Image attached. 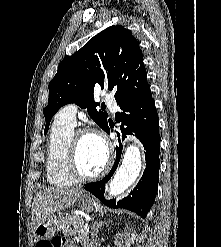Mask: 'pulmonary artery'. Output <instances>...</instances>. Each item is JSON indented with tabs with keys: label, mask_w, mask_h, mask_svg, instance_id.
Returning a JSON list of instances; mask_svg holds the SVG:
<instances>
[{
	"label": "pulmonary artery",
	"mask_w": 221,
	"mask_h": 247,
	"mask_svg": "<svg viewBox=\"0 0 221 247\" xmlns=\"http://www.w3.org/2000/svg\"><path fill=\"white\" fill-rule=\"evenodd\" d=\"M103 97L111 107L113 108L117 107L112 94L104 93ZM77 110L78 108L75 104H68L62 110H60L56 118L62 123L74 127L76 125Z\"/></svg>",
	"instance_id": "e3ab8cb5"
}]
</instances>
